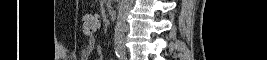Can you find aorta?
<instances>
[{"label": "aorta", "mask_w": 267, "mask_h": 60, "mask_svg": "<svg viewBox=\"0 0 267 60\" xmlns=\"http://www.w3.org/2000/svg\"><path fill=\"white\" fill-rule=\"evenodd\" d=\"M133 0H121L115 25L114 43L118 54L124 52V31L126 26V19L132 7Z\"/></svg>", "instance_id": "aorta-1"}]
</instances>
